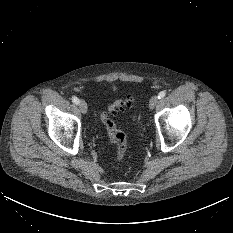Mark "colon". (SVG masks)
Masks as SVG:
<instances>
[{
    "instance_id": "5ec220e1",
    "label": "colon",
    "mask_w": 233,
    "mask_h": 233,
    "mask_svg": "<svg viewBox=\"0 0 233 233\" xmlns=\"http://www.w3.org/2000/svg\"><path fill=\"white\" fill-rule=\"evenodd\" d=\"M131 106L132 98L128 96L113 101L101 114V122L106 130V133L109 139L116 146V157L118 160H122L126 154L127 139L125 134L116 127V124L110 116L117 114L120 111L130 109Z\"/></svg>"
}]
</instances>
